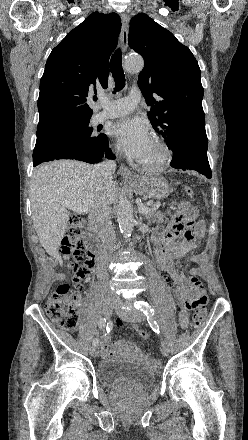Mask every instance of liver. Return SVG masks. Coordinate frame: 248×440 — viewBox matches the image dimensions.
I'll return each mask as SVG.
<instances>
[{
	"mask_svg": "<svg viewBox=\"0 0 248 440\" xmlns=\"http://www.w3.org/2000/svg\"><path fill=\"white\" fill-rule=\"evenodd\" d=\"M93 168L84 162L62 160L43 164L33 172L30 200L34 227L40 244L60 265L58 249L69 222V212L61 200L74 201L87 212L102 200L115 201L117 183L99 179Z\"/></svg>",
	"mask_w": 248,
	"mask_h": 440,
	"instance_id": "1",
	"label": "liver"
}]
</instances>
